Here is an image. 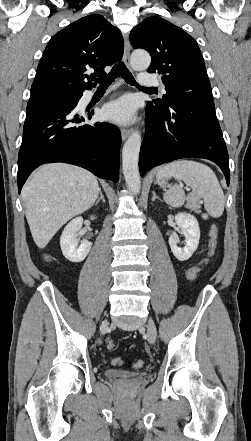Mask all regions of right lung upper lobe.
Listing matches in <instances>:
<instances>
[{"instance_id":"1","label":"right lung upper lobe","mask_w":251,"mask_h":441,"mask_svg":"<svg viewBox=\"0 0 251 441\" xmlns=\"http://www.w3.org/2000/svg\"><path fill=\"white\" fill-rule=\"evenodd\" d=\"M121 32L103 16L83 17L58 33L47 44L31 86L30 98L78 95L95 87L96 76L105 75V66L122 58ZM94 69L90 76L84 74ZM88 79V82H85Z\"/></svg>"}]
</instances>
